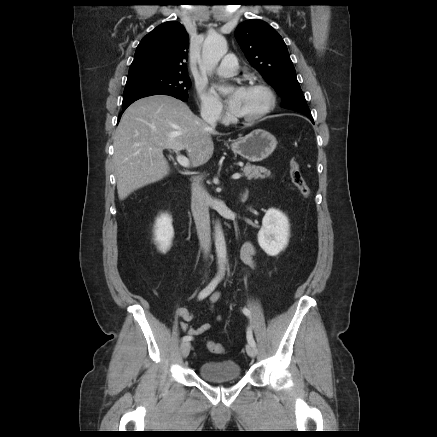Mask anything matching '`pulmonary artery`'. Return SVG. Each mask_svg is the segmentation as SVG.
<instances>
[{"label": "pulmonary artery", "instance_id": "pulmonary-artery-1", "mask_svg": "<svg viewBox=\"0 0 437 437\" xmlns=\"http://www.w3.org/2000/svg\"><path fill=\"white\" fill-rule=\"evenodd\" d=\"M238 62L233 54H227L220 65L216 69V73L220 76L230 77L237 73Z\"/></svg>", "mask_w": 437, "mask_h": 437}]
</instances>
